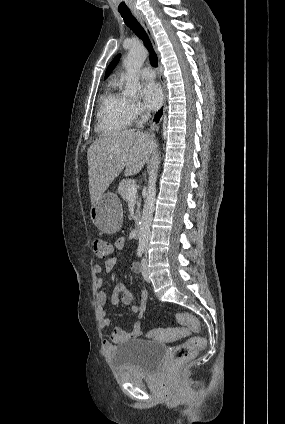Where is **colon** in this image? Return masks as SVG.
<instances>
[{
    "label": "colon",
    "mask_w": 285,
    "mask_h": 424,
    "mask_svg": "<svg viewBox=\"0 0 285 424\" xmlns=\"http://www.w3.org/2000/svg\"><path fill=\"white\" fill-rule=\"evenodd\" d=\"M93 252L98 258H106L112 253V246L101 239H95L92 244ZM177 321L193 331L200 328L199 321L192 315L182 312L176 313ZM184 328H159L149 332L148 337L158 341H173L185 335ZM205 346V340L201 336L190 337L186 342L175 346L169 356V362H176L195 355Z\"/></svg>",
    "instance_id": "1"
}]
</instances>
